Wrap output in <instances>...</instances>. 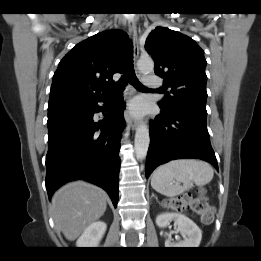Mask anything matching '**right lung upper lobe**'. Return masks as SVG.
I'll use <instances>...</instances> for the list:
<instances>
[{
    "label": "right lung upper lobe",
    "instance_id": "right-lung-upper-lobe-1",
    "mask_svg": "<svg viewBox=\"0 0 261 261\" xmlns=\"http://www.w3.org/2000/svg\"><path fill=\"white\" fill-rule=\"evenodd\" d=\"M126 32L103 31L78 43L54 73L49 102H85L109 95L112 75L123 72Z\"/></svg>",
    "mask_w": 261,
    "mask_h": 261
}]
</instances>
